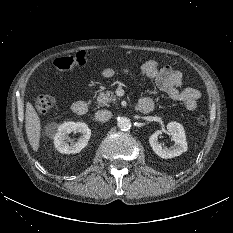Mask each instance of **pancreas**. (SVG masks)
I'll list each match as a JSON object with an SVG mask.
<instances>
[{
  "label": "pancreas",
  "instance_id": "obj_1",
  "mask_svg": "<svg viewBox=\"0 0 233 233\" xmlns=\"http://www.w3.org/2000/svg\"><path fill=\"white\" fill-rule=\"evenodd\" d=\"M116 96L113 91L101 92L97 97V103L99 107L110 106L111 103H115Z\"/></svg>",
  "mask_w": 233,
  "mask_h": 233
}]
</instances>
